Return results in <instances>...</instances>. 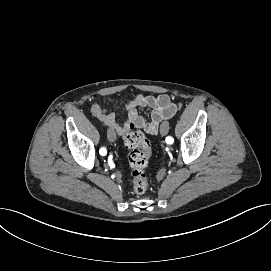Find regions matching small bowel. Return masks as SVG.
<instances>
[{"mask_svg": "<svg viewBox=\"0 0 271 271\" xmlns=\"http://www.w3.org/2000/svg\"><path fill=\"white\" fill-rule=\"evenodd\" d=\"M151 108L152 113L149 120L145 119L139 112V108ZM125 120L123 123L117 121L115 115L99 104H93L90 113L98 119L108 131L122 135L128 129L136 127L149 134H156L162 121L168 120L177 112V105L168 95L146 96L135 95L125 104Z\"/></svg>", "mask_w": 271, "mask_h": 271, "instance_id": "small-bowel-1", "label": "small bowel"}]
</instances>
